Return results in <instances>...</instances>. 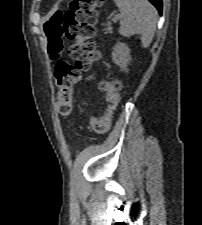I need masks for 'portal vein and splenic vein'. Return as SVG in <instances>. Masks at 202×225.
<instances>
[{
    "instance_id": "18ae733b",
    "label": "portal vein and splenic vein",
    "mask_w": 202,
    "mask_h": 225,
    "mask_svg": "<svg viewBox=\"0 0 202 225\" xmlns=\"http://www.w3.org/2000/svg\"><path fill=\"white\" fill-rule=\"evenodd\" d=\"M118 18H119V15H117L116 18H113V21H115V20L118 19Z\"/></svg>"
}]
</instances>
